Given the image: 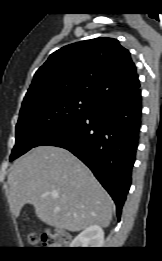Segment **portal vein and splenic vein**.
Returning <instances> with one entry per match:
<instances>
[{"label":"portal vein and splenic vein","mask_w":162,"mask_h":261,"mask_svg":"<svg viewBox=\"0 0 162 261\" xmlns=\"http://www.w3.org/2000/svg\"><path fill=\"white\" fill-rule=\"evenodd\" d=\"M53 197L58 198V194H53Z\"/></svg>","instance_id":"18ae733b"}]
</instances>
